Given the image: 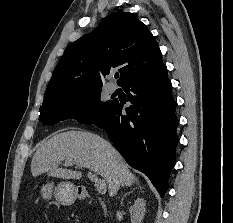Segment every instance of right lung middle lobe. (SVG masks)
<instances>
[{"instance_id": "right-lung-middle-lobe-1", "label": "right lung middle lobe", "mask_w": 233, "mask_h": 223, "mask_svg": "<svg viewBox=\"0 0 233 223\" xmlns=\"http://www.w3.org/2000/svg\"><path fill=\"white\" fill-rule=\"evenodd\" d=\"M100 97L101 88H96L42 105L41 121L46 125H54L59 121L73 118L81 123L90 124L103 109L113 103V100L101 101Z\"/></svg>"}]
</instances>
